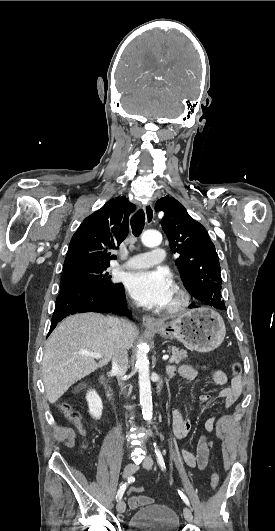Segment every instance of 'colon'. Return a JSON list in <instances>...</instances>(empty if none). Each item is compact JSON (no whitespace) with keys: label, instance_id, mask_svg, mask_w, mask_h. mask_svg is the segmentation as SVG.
I'll use <instances>...</instances> for the list:
<instances>
[{"label":"colon","instance_id":"colon-1","mask_svg":"<svg viewBox=\"0 0 275 531\" xmlns=\"http://www.w3.org/2000/svg\"><path fill=\"white\" fill-rule=\"evenodd\" d=\"M232 371L235 374H239L241 372V364L238 362H235L232 364ZM61 410L65 414V416L75 425L78 426V428L82 431L81 422L83 420V417L81 413L74 409L73 407L63 404L61 405ZM219 483V475L216 471H213L210 476V484L211 488L213 490L217 489ZM131 489L134 491V494H144L146 492V489L144 487H131Z\"/></svg>","mask_w":275,"mask_h":531}]
</instances>
